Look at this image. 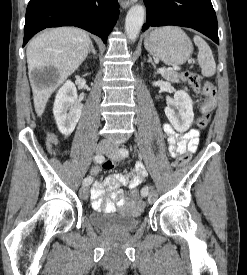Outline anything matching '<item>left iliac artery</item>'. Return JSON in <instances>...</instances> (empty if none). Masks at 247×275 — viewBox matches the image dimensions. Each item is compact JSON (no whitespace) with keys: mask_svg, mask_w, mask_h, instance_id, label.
<instances>
[{"mask_svg":"<svg viewBox=\"0 0 247 275\" xmlns=\"http://www.w3.org/2000/svg\"><path fill=\"white\" fill-rule=\"evenodd\" d=\"M119 155L121 156V157H127L128 155H129V151L126 149V148H121L119 151ZM143 190H145V192L148 194V192H149V187L148 186H145L143 189H142V191Z\"/></svg>","mask_w":247,"mask_h":275,"instance_id":"left-iliac-artery-1","label":"left iliac artery"}]
</instances>
